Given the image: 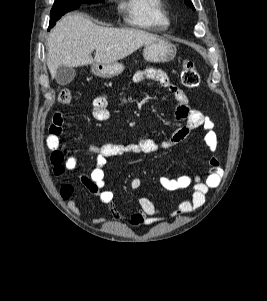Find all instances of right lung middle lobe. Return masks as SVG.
<instances>
[{"label":"right lung middle lobe","mask_w":267,"mask_h":301,"mask_svg":"<svg viewBox=\"0 0 267 301\" xmlns=\"http://www.w3.org/2000/svg\"><path fill=\"white\" fill-rule=\"evenodd\" d=\"M103 1L104 0H55L53 8L50 12L49 28L53 27L56 21L61 18V16L71 10L78 8L80 4H94Z\"/></svg>","instance_id":"obj_1"}]
</instances>
